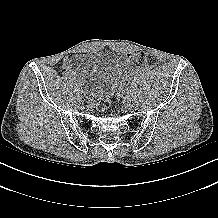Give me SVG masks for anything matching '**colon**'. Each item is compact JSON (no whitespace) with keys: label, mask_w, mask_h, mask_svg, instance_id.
<instances>
[{"label":"colon","mask_w":218,"mask_h":218,"mask_svg":"<svg viewBox=\"0 0 218 218\" xmlns=\"http://www.w3.org/2000/svg\"><path fill=\"white\" fill-rule=\"evenodd\" d=\"M128 60L133 65L147 67H154L158 63V60L154 54L146 52H138L131 54ZM95 105L99 111H107L111 106V95L109 93L101 95L96 99Z\"/></svg>","instance_id":"5ec220e1"}]
</instances>
